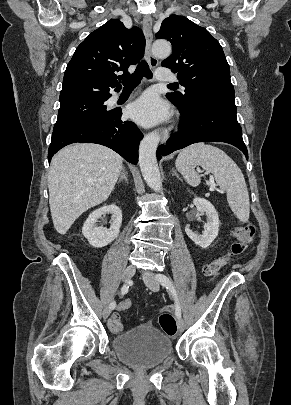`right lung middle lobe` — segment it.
<instances>
[{
	"mask_svg": "<svg viewBox=\"0 0 291 405\" xmlns=\"http://www.w3.org/2000/svg\"><path fill=\"white\" fill-rule=\"evenodd\" d=\"M108 98L76 99L60 102L57 122L54 130L86 119L99 117L112 112L105 105Z\"/></svg>",
	"mask_w": 291,
	"mask_h": 405,
	"instance_id": "1",
	"label": "right lung middle lobe"
}]
</instances>
